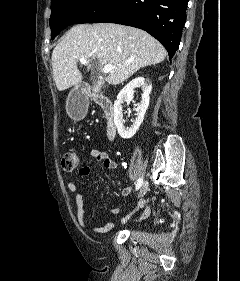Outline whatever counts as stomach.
Here are the masks:
<instances>
[{
    "mask_svg": "<svg viewBox=\"0 0 240 281\" xmlns=\"http://www.w3.org/2000/svg\"><path fill=\"white\" fill-rule=\"evenodd\" d=\"M75 89H73L68 97L66 104V111L69 117L73 120H78L84 115V111L82 107L79 105L77 101L74 100Z\"/></svg>",
    "mask_w": 240,
    "mask_h": 281,
    "instance_id": "1",
    "label": "stomach"
}]
</instances>
